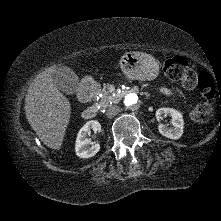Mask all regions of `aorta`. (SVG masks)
Instances as JSON below:
<instances>
[{"label":"aorta","mask_w":221,"mask_h":221,"mask_svg":"<svg viewBox=\"0 0 221 221\" xmlns=\"http://www.w3.org/2000/svg\"><path fill=\"white\" fill-rule=\"evenodd\" d=\"M124 104L126 107L135 109L139 105V98L135 93H129L124 98Z\"/></svg>","instance_id":"1"}]
</instances>
